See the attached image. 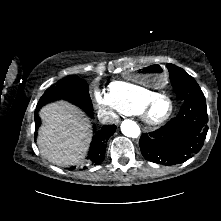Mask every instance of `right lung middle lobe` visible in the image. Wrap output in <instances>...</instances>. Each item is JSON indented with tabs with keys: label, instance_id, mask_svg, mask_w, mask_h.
Instances as JSON below:
<instances>
[{
	"label": "right lung middle lobe",
	"instance_id": "dd1d6c3e",
	"mask_svg": "<svg viewBox=\"0 0 221 221\" xmlns=\"http://www.w3.org/2000/svg\"><path fill=\"white\" fill-rule=\"evenodd\" d=\"M60 98L69 100L83 109H87L92 103L88 84L77 76H69L60 80L56 86L49 87L40 98L36 109Z\"/></svg>",
	"mask_w": 221,
	"mask_h": 221
}]
</instances>
